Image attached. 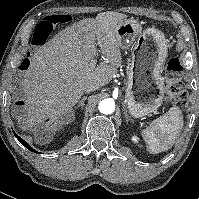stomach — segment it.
Here are the masks:
<instances>
[{"mask_svg": "<svg viewBox=\"0 0 199 199\" xmlns=\"http://www.w3.org/2000/svg\"><path fill=\"white\" fill-rule=\"evenodd\" d=\"M120 48L131 50L126 85V101L130 114L141 118L161 106L165 93L162 77L167 59V40L152 27L142 31L135 19H124L115 28Z\"/></svg>", "mask_w": 199, "mask_h": 199, "instance_id": "1", "label": "stomach"}]
</instances>
